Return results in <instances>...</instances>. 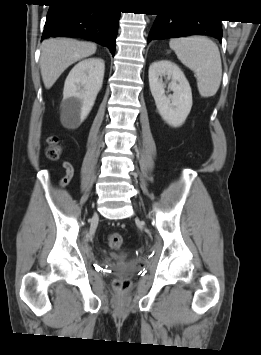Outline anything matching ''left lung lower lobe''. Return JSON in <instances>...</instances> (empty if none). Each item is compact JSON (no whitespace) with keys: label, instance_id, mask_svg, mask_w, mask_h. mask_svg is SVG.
<instances>
[{"label":"left lung lower lobe","instance_id":"0a47b994","mask_svg":"<svg viewBox=\"0 0 261 355\" xmlns=\"http://www.w3.org/2000/svg\"><path fill=\"white\" fill-rule=\"evenodd\" d=\"M189 35H207L222 39L220 20L186 16L158 15L148 36L155 38H178Z\"/></svg>","mask_w":261,"mask_h":355}]
</instances>
